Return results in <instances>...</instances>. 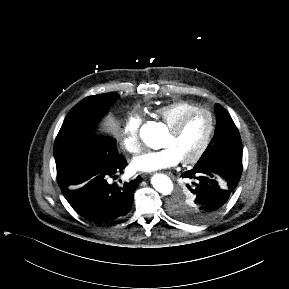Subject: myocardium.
Masks as SVG:
<instances>
[{"instance_id":"myocardium-1","label":"myocardium","mask_w":289,"mask_h":289,"mask_svg":"<svg viewBox=\"0 0 289 289\" xmlns=\"http://www.w3.org/2000/svg\"><path fill=\"white\" fill-rule=\"evenodd\" d=\"M199 113H205L209 116L210 119V129L208 132V135L205 139V141L203 142V144L201 145V147L198 149V151L192 155L191 157L182 159L181 162L183 164L189 165V164H194L196 162H198L206 153V151L208 150L213 137L215 135V131H216V118L214 116V114L207 108H202V107H198L196 109L190 110L186 113H184L173 125H171L169 127V131L172 134H178L181 132V130L183 129V127L185 126V124L187 123V121L194 115L199 114Z\"/></svg>"}]
</instances>
